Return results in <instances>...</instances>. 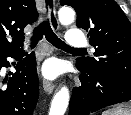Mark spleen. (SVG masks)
Listing matches in <instances>:
<instances>
[{
  "instance_id": "obj_1",
  "label": "spleen",
  "mask_w": 131,
  "mask_h": 115,
  "mask_svg": "<svg viewBox=\"0 0 131 115\" xmlns=\"http://www.w3.org/2000/svg\"><path fill=\"white\" fill-rule=\"evenodd\" d=\"M102 115H131V110L123 108H113L110 110H106L102 113Z\"/></svg>"
}]
</instances>
